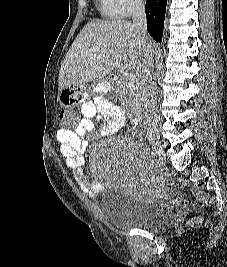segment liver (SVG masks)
Returning a JSON list of instances; mask_svg holds the SVG:
<instances>
[{"label": "liver", "mask_w": 227, "mask_h": 267, "mask_svg": "<svg viewBox=\"0 0 227 267\" xmlns=\"http://www.w3.org/2000/svg\"><path fill=\"white\" fill-rule=\"evenodd\" d=\"M145 45L152 50L147 35ZM144 44L141 34L125 19L89 22L68 50L59 72V90L73 82L83 86L102 81L116 67L141 74Z\"/></svg>", "instance_id": "obj_1"}]
</instances>
